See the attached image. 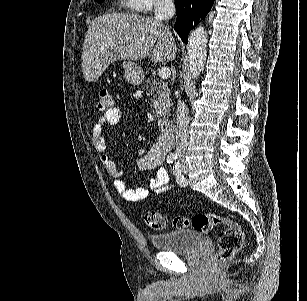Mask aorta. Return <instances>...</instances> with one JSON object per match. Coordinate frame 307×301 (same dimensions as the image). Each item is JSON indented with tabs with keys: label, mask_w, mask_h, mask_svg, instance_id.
<instances>
[{
	"label": "aorta",
	"mask_w": 307,
	"mask_h": 301,
	"mask_svg": "<svg viewBox=\"0 0 307 301\" xmlns=\"http://www.w3.org/2000/svg\"><path fill=\"white\" fill-rule=\"evenodd\" d=\"M207 42V30L204 28V26H197V28H194L193 32H191L188 38L187 54L189 72L193 80L200 76L205 66Z\"/></svg>",
	"instance_id": "aorta-1"
}]
</instances>
